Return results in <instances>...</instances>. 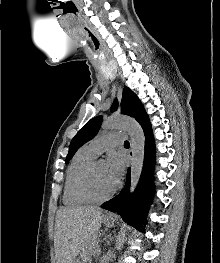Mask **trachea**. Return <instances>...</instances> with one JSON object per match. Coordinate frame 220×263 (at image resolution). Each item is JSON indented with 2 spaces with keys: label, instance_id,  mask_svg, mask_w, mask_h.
<instances>
[{
  "label": "trachea",
  "instance_id": "trachea-1",
  "mask_svg": "<svg viewBox=\"0 0 220 263\" xmlns=\"http://www.w3.org/2000/svg\"><path fill=\"white\" fill-rule=\"evenodd\" d=\"M130 144H129V142L128 141H125L124 142V146H129Z\"/></svg>",
  "mask_w": 220,
  "mask_h": 263
}]
</instances>
